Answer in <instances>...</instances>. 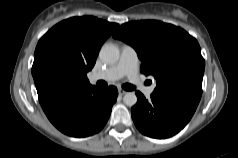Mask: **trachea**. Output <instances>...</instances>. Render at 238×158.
Returning a JSON list of instances; mask_svg holds the SVG:
<instances>
[{
  "mask_svg": "<svg viewBox=\"0 0 238 158\" xmlns=\"http://www.w3.org/2000/svg\"><path fill=\"white\" fill-rule=\"evenodd\" d=\"M122 88H123L124 90H127V91H132V90H134L136 87L133 86V85H131V84L126 83V84H123V85H122Z\"/></svg>",
  "mask_w": 238,
  "mask_h": 158,
  "instance_id": "3493384b",
  "label": "trachea"
}]
</instances>
